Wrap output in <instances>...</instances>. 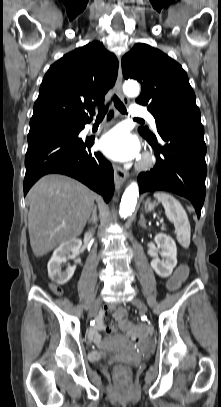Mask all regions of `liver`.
I'll use <instances>...</instances> for the list:
<instances>
[{
	"mask_svg": "<svg viewBox=\"0 0 221 407\" xmlns=\"http://www.w3.org/2000/svg\"><path fill=\"white\" fill-rule=\"evenodd\" d=\"M28 231L36 257L77 238L94 210V193L59 174L40 178L27 194Z\"/></svg>",
	"mask_w": 221,
	"mask_h": 407,
	"instance_id": "obj_1",
	"label": "liver"
}]
</instances>
